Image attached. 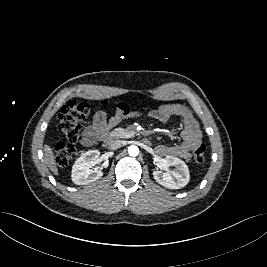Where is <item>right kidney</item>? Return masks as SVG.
<instances>
[{"label":"right kidney","mask_w":267,"mask_h":267,"mask_svg":"<svg viewBox=\"0 0 267 267\" xmlns=\"http://www.w3.org/2000/svg\"><path fill=\"white\" fill-rule=\"evenodd\" d=\"M100 152L89 150L83 153L72 167V181L77 185H86L103 176V172L98 169H90L92 165L100 162Z\"/></svg>","instance_id":"obj_1"}]
</instances>
